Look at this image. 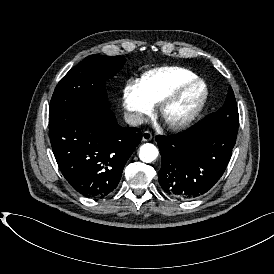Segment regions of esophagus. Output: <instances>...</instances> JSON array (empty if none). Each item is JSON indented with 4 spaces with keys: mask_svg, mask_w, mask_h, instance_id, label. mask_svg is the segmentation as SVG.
<instances>
[{
    "mask_svg": "<svg viewBox=\"0 0 274 274\" xmlns=\"http://www.w3.org/2000/svg\"><path fill=\"white\" fill-rule=\"evenodd\" d=\"M152 138H153V134L150 131L145 130L142 133V141H150L152 140Z\"/></svg>",
    "mask_w": 274,
    "mask_h": 274,
    "instance_id": "34e87169",
    "label": "esophagus"
}]
</instances>
